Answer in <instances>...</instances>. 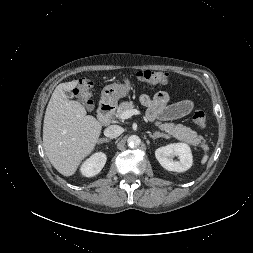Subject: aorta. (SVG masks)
<instances>
[{"label": "aorta", "instance_id": "obj_1", "mask_svg": "<svg viewBox=\"0 0 253 253\" xmlns=\"http://www.w3.org/2000/svg\"><path fill=\"white\" fill-rule=\"evenodd\" d=\"M128 146L131 148L138 147L141 143V139L137 135H131L128 137Z\"/></svg>", "mask_w": 253, "mask_h": 253}]
</instances>
